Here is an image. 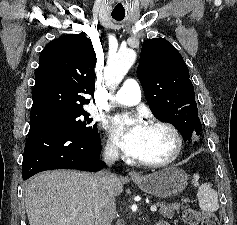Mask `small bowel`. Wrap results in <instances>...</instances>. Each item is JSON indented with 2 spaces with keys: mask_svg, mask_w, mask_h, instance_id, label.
Segmentation results:
<instances>
[{
  "mask_svg": "<svg viewBox=\"0 0 237 225\" xmlns=\"http://www.w3.org/2000/svg\"><path fill=\"white\" fill-rule=\"evenodd\" d=\"M157 225H170V224L166 221H160L159 223H157Z\"/></svg>",
  "mask_w": 237,
  "mask_h": 225,
  "instance_id": "1",
  "label": "small bowel"
}]
</instances>
